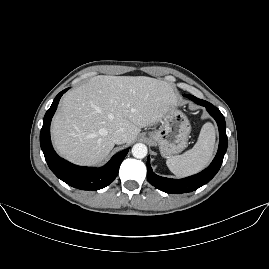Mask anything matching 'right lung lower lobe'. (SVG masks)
I'll return each mask as SVG.
<instances>
[{
	"mask_svg": "<svg viewBox=\"0 0 269 269\" xmlns=\"http://www.w3.org/2000/svg\"><path fill=\"white\" fill-rule=\"evenodd\" d=\"M68 90L60 92L47 110L40 132V145L45 160L52 172L68 185L81 190H98L109 185L116 178L119 167L128 153L125 149L114 155L112 159L101 168L81 167L60 158L54 151L50 140V123L57 109L61 96Z\"/></svg>",
	"mask_w": 269,
	"mask_h": 269,
	"instance_id": "98d812e1",
	"label": "right lung lower lobe"
}]
</instances>
